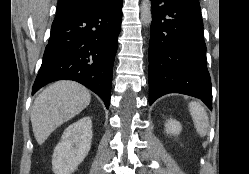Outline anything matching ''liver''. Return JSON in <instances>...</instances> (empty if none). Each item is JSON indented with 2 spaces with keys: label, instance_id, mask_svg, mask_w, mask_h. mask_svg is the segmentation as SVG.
Listing matches in <instances>:
<instances>
[{
  "label": "liver",
  "instance_id": "liver-1",
  "mask_svg": "<svg viewBox=\"0 0 249 174\" xmlns=\"http://www.w3.org/2000/svg\"><path fill=\"white\" fill-rule=\"evenodd\" d=\"M91 101L87 88L74 81H57L35 99L31 111L34 137L39 145L66 121L83 111Z\"/></svg>",
  "mask_w": 249,
  "mask_h": 174
}]
</instances>
